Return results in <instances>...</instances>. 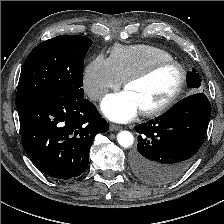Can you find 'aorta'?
Returning <instances> with one entry per match:
<instances>
[{"instance_id":"aorta-1","label":"aorta","mask_w":224,"mask_h":224,"mask_svg":"<svg viewBox=\"0 0 224 224\" xmlns=\"http://www.w3.org/2000/svg\"><path fill=\"white\" fill-rule=\"evenodd\" d=\"M117 141L121 147L128 148L134 142V137L129 131H120L117 134Z\"/></svg>"}]
</instances>
